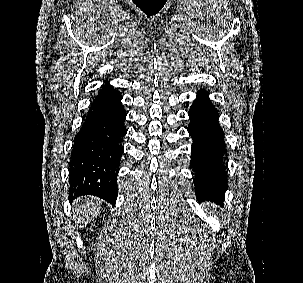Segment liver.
I'll list each match as a JSON object with an SVG mask.
<instances>
[{
    "mask_svg": "<svg viewBox=\"0 0 303 283\" xmlns=\"http://www.w3.org/2000/svg\"><path fill=\"white\" fill-rule=\"evenodd\" d=\"M98 202L100 200L95 197L78 198L74 201L72 216L80 224L79 228L82 229L92 218L97 216L101 208L97 206Z\"/></svg>",
    "mask_w": 303,
    "mask_h": 283,
    "instance_id": "obj_1",
    "label": "liver"
}]
</instances>
